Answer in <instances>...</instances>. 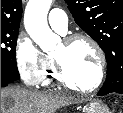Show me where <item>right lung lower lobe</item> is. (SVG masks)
Instances as JSON below:
<instances>
[{
  "label": "right lung lower lobe",
  "mask_w": 123,
  "mask_h": 113,
  "mask_svg": "<svg viewBox=\"0 0 123 113\" xmlns=\"http://www.w3.org/2000/svg\"><path fill=\"white\" fill-rule=\"evenodd\" d=\"M9 83H1V87L7 86Z\"/></svg>",
  "instance_id": "98d812e1"
}]
</instances>
